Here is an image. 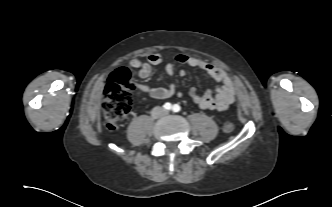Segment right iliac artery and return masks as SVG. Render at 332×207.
I'll return each instance as SVG.
<instances>
[{
	"label": "right iliac artery",
	"mask_w": 332,
	"mask_h": 207,
	"mask_svg": "<svg viewBox=\"0 0 332 207\" xmlns=\"http://www.w3.org/2000/svg\"><path fill=\"white\" fill-rule=\"evenodd\" d=\"M163 107H164L166 110H170V109L172 108V105H171L169 102H167V103L164 104Z\"/></svg>",
	"instance_id": "82829eb1"
}]
</instances>
